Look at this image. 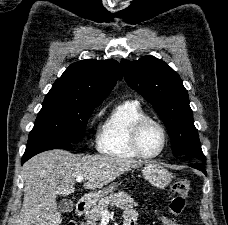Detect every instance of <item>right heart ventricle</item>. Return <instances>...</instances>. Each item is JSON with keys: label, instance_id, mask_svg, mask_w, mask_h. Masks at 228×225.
Wrapping results in <instances>:
<instances>
[{"label": "right heart ventricle", "instance_id": "obj_1", "mask_svg": "<svg viewBox=\"0 0 228 225\" xmlns=\"http://www.w3.org/2000/svg\"><path fill=\"white\" fill-rule=\"evenodd\" d=\"M147 117L140 103L125 100L112 111L97 138L98 150L116 158H140L131 143L132 130L137 121Z\"/></svg>", "mask_w": 228, "mask_h": 225}]
</instances>
